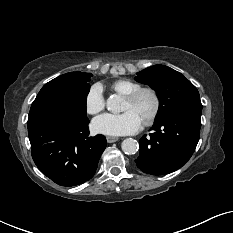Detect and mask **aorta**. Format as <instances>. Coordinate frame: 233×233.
Returning a JSON list of instances; mask_svg holds the SVG:
<instances>
[{"instance_id":"aorta-1","label":"aorta","mask_w":233,"mask_h":233,"mask_svg":"<svg viewBox=\"0 0 233 233\" xmlns=\"http://www.w3.org/2000/svg\"><path fill=\"white\" fill-rule=\"evenodd\" d=\"M120 103V97L111 96L106 102V107L112 113H118L120 111ZM121 148L125 154L131 155L135 154L138 151L139 145L135 139L127 138L123 140Z\"/></svg>"}]
</instances>
